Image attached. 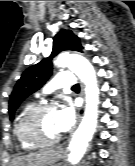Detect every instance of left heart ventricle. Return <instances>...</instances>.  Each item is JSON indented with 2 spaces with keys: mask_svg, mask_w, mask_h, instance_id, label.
<instances>
[{
  "mask_svg": "<svg viewBox=\"0 0 135 166\" xmlns=\"http://www.w3.org/2000/svg\"><path fill=\"white\" fill-rule=\"evenodd\" d=\"M34 129L45 139H53L59 136L56 124V111H48L41 114L34 122Z\"/></svg>",
  "mask_w": 135,
  "mask_h": 166,
  "instance_id": "b2bd125f",
  "label": "left heart ventricle"
}]
</instances>
